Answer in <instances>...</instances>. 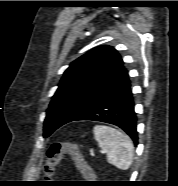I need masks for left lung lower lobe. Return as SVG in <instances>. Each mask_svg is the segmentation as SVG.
<instances>
[{"label": "left lung lower lobe", "mask_w": 178, "mask_h": 186, "mask_svg": "<svg viewBox=\"0 0 178 186\" xmlns=\"http://www.w3.org/2000/svg\"><path fill=\"white\" fill-rule=\"evenodd\" d=\"M130 81L112 94L90 106L72 121L91 120L110 123L124 130L138 143L137 118Z\"/></svg>", "instance_id": "0a47b994"}]
</instances>
